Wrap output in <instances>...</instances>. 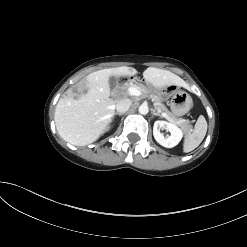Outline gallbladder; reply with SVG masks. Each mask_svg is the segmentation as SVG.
<instances>
[{"mask_svg":"<svg viewBox=\"0 0 247 247\" xmlns=\"http://www.w3.org/2000/svg\"><path fill=\"white\" fill-rule=\"evenodd\" d=\"M109 85L111 89H114L118 85V80L115 76L109 77Z\"/></svg>","mask_w":247,"mask_h":247,"instance_id":"1","label":"gallbladder"}]
</instances>
